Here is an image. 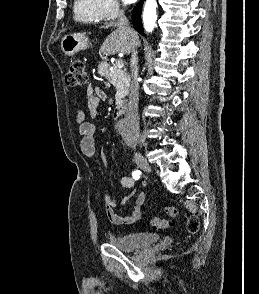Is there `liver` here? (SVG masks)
<instances>
[{"instance_id": "liver-1", "label": "liver", "mask_w": 259, "mask_h": 294, "mask_svg": "<svg viewBox=\"0 0 259 294\" xmlns=\"http://www.w3.org/2000/svg\"><path fill=\"white\" fill-rule=\"evenodd\" d=\"M104 28L117 27L110 35L107 36L103 45L101 46V52L105 54H129L131 46L137 48L140 45V41L137 33L134 31L132 35H128L125 31L120 29L116 23H106Z\"/></svg>"}]
</instances>
